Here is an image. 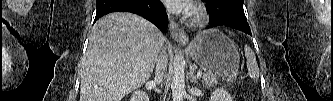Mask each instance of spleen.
Returning a JSON list of instances; mask_svg holds the SVG:
<instances>
[{
  "label": "spleen",
  "instance_id": "obj_1",
  "mask_svg": "<svg viewBox=\"0 0 333 101\" xmlns=\"http://www.w3.org/2000/svg\"><path fill=\"white\" fill-rule=\"evenodd\" d=\"M244 50L247 59L248 74L252 79L257 80L259 78V68L255 54L248 45H245Z\"/></svg>",
  "mask_w": 333,
  "mask_h": 101
}]
</instances>
